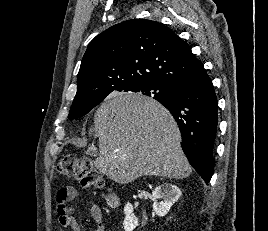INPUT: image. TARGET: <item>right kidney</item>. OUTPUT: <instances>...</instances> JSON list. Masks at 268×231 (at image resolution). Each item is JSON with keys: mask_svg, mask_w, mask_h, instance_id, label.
I'll return each instance as SVG.
<instances>
[{"mask_svg": "<svg viewBox=\"0 0 268 231\" xmlns=\"http://www.w3.org/2000/svg\"><path fill=\"white\" fill-rule=\"evenodd\" d=\"M180 189L173 184L164 183L157 186L150 196L153 200V210L159 217L165 216L170 210L171 206L181 196ZM158 199L161 201L158 202ZM133 206L131 203H127L124 207L125 219L123 227L125 231H133L138 225V219L132 214Z\"/></svg>", "mask_w": 268, "mask_h": 231, "instance_id": "right-kidney-1", "label": "right kidney"}]
</instances>
